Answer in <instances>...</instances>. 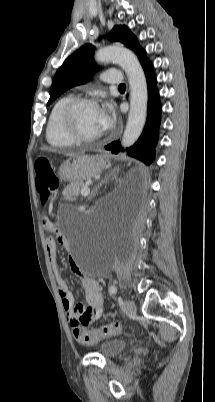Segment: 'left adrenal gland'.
Listing matches in <instances>:
<instances>
[{
  "instance_id": "left-adrenal-gland-1",
  "label": "left adrenal gland",
  "mask_w": 215,
  "mask_h": 402,
  "mask_svg": "<svg viewBox=\"0 0 215 402\" xmlns=\"http://www.w3.org/2000/svg\"><path fill=\"white\" fill-rule=\"evenodd\" d=\"M111 175H112V173H109L108 175H106V176L104 177L103 180H101L100 184H99L97 187H95L94 190L91 192V195H90L89 199H92L93 197H95V196L98 194V190L100 189V187H101L103 184H107V183H108L109 178L111 177Z\"/></svg>"
}]
</instances>
